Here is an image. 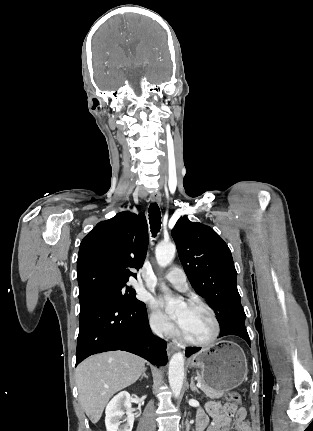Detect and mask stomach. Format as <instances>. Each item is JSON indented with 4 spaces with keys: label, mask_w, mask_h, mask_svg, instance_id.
I'll return each mask as SVG.
<instances>
[{
    "label": "stomach",
    "mask_w": 313,
    "mask_h": 431,
    "mask_svg": "<svg viewBox=\"0 0 313 431\" xmlns=\"http://www.w3.org/2000/svg\"><path fill=\"white\" fill-rule=\"evenodd\" d=\"M189 366L200 371L204 384L218 391H229L241 385L247 375V360L240 346L220 341L193 355Z\"/></svg>",
    "instance_id": "obj_1"
}]
</instances>
